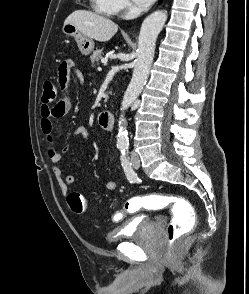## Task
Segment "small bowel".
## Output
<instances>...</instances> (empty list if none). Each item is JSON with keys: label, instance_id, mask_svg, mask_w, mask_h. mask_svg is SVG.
Segmentation results:
<instances>
[{"label": "small bowel", "instance_id": "small-bowel-1", "mask_svg": "<svg viewBox=\"0 0 249 294\" xmlns=\"http://www.w3.org/2000/svg\"><path fill=\"white\" fill-rule=\"evenodd\" d=\"M70 62L69 69L66 72H63L59 68L58 80L60 87L64 95L54 102L53 104L43 103L40 108V129L44 135L46 143V152L47 157L52 167V172L54 178L58 184L60 191L63 194H66L70 186L75 182L76 178L74 175H64L62 168L59 164L62 161V153H66L70 150L69 145H64L60 149L55 144V121L64 117L72 107V98H71V73L76 72L73 60L68 58ZM71 138L80 137L84 140H89L91 138V133L89 130L80 126L74 129L70 133ZM118 188V184L115 181L109 180L105 183V189L107 191H115ZM115 220H119V216L114 217Z\"/></svg>", "mask_w": 249, "mask_h": 294}]
</instances>
